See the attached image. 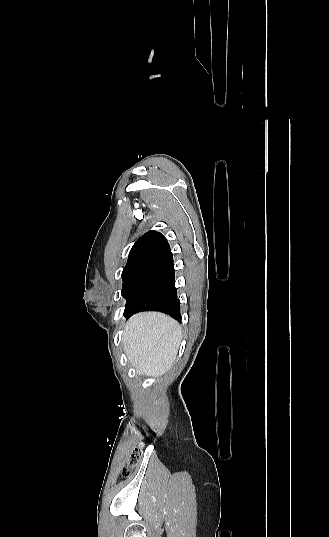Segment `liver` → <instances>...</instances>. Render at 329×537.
<instances>
[{
	"label": "liver",
	"mask_w": 329,
	"mask_h": 537,
	"mask_svg": "<svg viewBox=\"0 0 329 537\" xmlns=\"http://www.w3.org/2000/svg\"><path fill=\"white\" fill-rule=\"evenodd\" d=\"M181 341L177 321L159 312H142L127 322L122 337L124 351L137 373L164 374L175 360Z\"/></svg>",
	"instance_id": "obj_1"
}]
</instances>
